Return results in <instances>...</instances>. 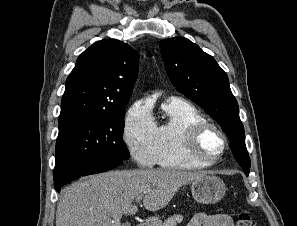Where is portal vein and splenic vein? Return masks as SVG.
<instances>
[{
  "label": "portal vein and splenic vein",
  "mask_w": 297,
  "mask_h": 226,
  "mask_svg": "<svg viewBox=\"0 0 297 226\" xmlns=\"http://www.w3.org/2000/svg\"><path fill=\"white\" fill-rule=\"evenodd\" d=\"M141 200H142V197H137V198H136V202H137V203H140Z\"/></svg>",
  "instance_id": "obj_1"
}]
</instances>
